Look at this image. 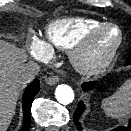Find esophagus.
Instances as JSON below:
<instances>
[{
	"label": "esophagus",
	"instance_id": "34e87169",
	"mask_svg": "<svg viewBox=\"0 0 131 131\" xmlns=\"http://www.w3.org/2000/svg\"><path fill=\"white\" fill-rule=\"evenodd\" d=\"M59 82V77L58 76H49L47 79H46V83L48 85H54V84H57Z\"/></svg>",
	"mask_w": 131,
	"mask_h": 131
}]
</instances>
